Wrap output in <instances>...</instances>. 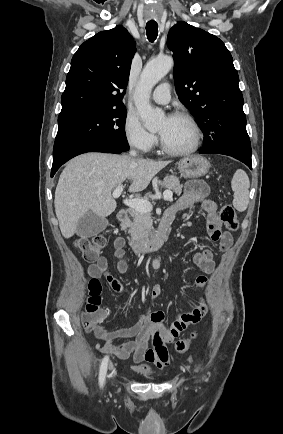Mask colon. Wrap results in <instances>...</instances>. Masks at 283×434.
<instances>
[{
    "mask_svg": "<svg viewBox=\"0 0 283 434\" xmlns=\"http://www.w3.org/2000/svg\"><path fill=\"white\" fill-rule=\"evenodd\" d=\"M220 220L230 231H236L238 228V219L234 207L231 204H223L219 213ZM77 248L87 262H95L106 245V239L103 234H97L89 237H81L77 243ZM89 297L87 299L85 312L83 315V324L88 329L99 326L106 318L107 314L101 307V284L98 279L90 278L88 281ZM196 334L192 333L189 338L180 339L175 344L177 353H184L188 350Z\"/></svg>",
    "mask_w": 283,
    "mask_h": 434,
    "instance_id": "colon-1",
    "label": "colon"
}]
</instances>
